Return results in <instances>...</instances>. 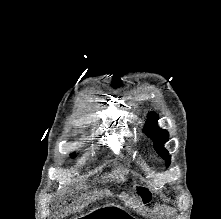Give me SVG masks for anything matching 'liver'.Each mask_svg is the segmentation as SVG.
<instances>
[{
	"label": "liver",
	"mask_w": 221,
	"mask_h": 219,
	"mask_svg": "<svg viewBox=\"0 0 221 219\" xmlns=\"http://www.w3.org/2000/svg\"><path fill=\"white\" fill-rule=\"evenodd\" d=\"M115 173V172H114ZM117 173H119V172H117ZM113 175H111V177H112ZM105 178H106V176H105ZM120 179L121 180H124V176L122 175V174H120Z\"/></svg>",
	"instance_id": "6515ba94"
}]
</instances>
